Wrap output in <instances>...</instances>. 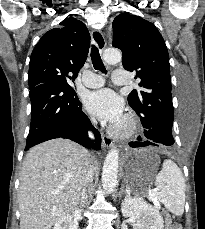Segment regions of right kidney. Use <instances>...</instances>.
Returning <instances> with one entry per match:
<instances>
[{
    "label": "right kidney",
    "mask_w": 205,
    "mask_h": 229,
    "mask_svg": "<svg viewBox=\"0 0 205 229\" xmlns=\"http://www.w3.org/2000/svg\"><path fill=\"white\" fill-rule=\"evenodd\" d=\"M53 229H73L72 216L65 215L58 219Z\"/></svg>",
    "instance_id": "1"
}]
</instances>
